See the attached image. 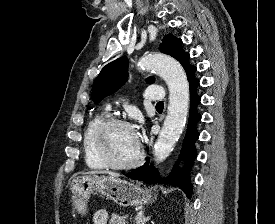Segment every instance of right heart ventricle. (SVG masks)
I'll return each instance as SVG.
<instances>
[{
    "label": "right heart ventricle",
    "mask_w": 275,
    "mask_h": 224,
    "mask_svg": "<svg viewBox=\"0 0 275 224\" xmlns=\"http://www.w3.org/2000/svg\"><path fill=\"white\" fill-rule=\"evenodd\" d=\"M105 119H107V115L105 113L96 114L94 117H92L88 121L84 130V136H83L84 161L87 167L92 170H102L107 168L105 163L97 155L93 145L94 132L98 127V125L102 123Z\"/></svg>",
    "instance_id": "obj_1"
}]
</instances>
